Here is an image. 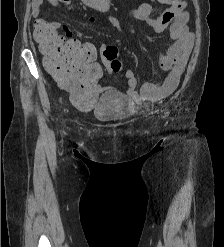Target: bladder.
Listing matches in <instances>:
<instances>
[{
    "label": "bladder",
    "instance_id": "1",
    "mask_svg": "<svg viewBox=\"0 0 224 247\" xmlns=\"http://www.w3.org/2000/svg\"><path fill=\"white\" fill-rule=\"evenodd\" d=\"M92 115L100 122H118L125 117L120 94L115 90H107L92 110Z\"/></svg>",
    "mask_w": 224,
    "mask_h": 247
}]
</instances>
